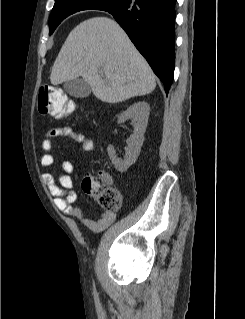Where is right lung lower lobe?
Here are the masks:
<instances>
[{"mask_svg":"<svg viewBox=\"0 0 245 319\" xmlns=\"http://www.w3.org/2000/svg\"><path fill=\"white\" fill-rule=\"evenodd\" d=\"M176 0H123L105 9L146 58L168 93L175 67L174 22Z\"/></svg>","mask_w":245,"mask_h":319,"instance_id":"98d812e1","label":"right lung lower lobe"}]
</instances>
